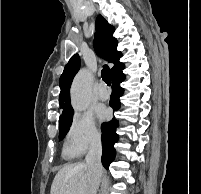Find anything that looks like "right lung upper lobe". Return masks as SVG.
I'll list each match as a JSON object with an SVG mask.
<instances>
[{
	"label": "right lung upper lobe",
	"instance_id": "cb5924a9",
	"mask_svg": "<svg viewBox=\"0 0 201 194\" xmlns=\"http://www.w3.org/2000/svg\"><path fill=\"white\" fill-rule=\"evenodd\" d=\"M114 26L110 25L107 20L98 15L96 19V33L94 39V48L98 54L103 56L109 63H114L111 69L112 76L124 68V64L119 61L122 53L117 51L118 41L113 37ZM80 68V57L75 54L66 64L60 77V107L63 109L60 119L73 115V109L70 105L69 90L72 80Z\"/></svg>",
	"mask_w": 201,
	"mask_h": 194
}]
</instances>
